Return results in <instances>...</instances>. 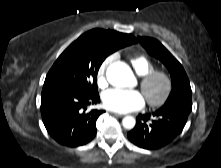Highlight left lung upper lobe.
<instances>
[{
	"label": "left lung upper lobe",
	"instance_id": "obj_1",
	"mask_svg": "<svg viewBox=\"0 0 221 168\" xmlns=\"http://www.w3.org/2000/svg\"><path fill=\"white\" fill-rule=\"evenodd\" d=\"M140 44L151 55L159 59L168 69L172 79V90L160 109L186 107L192 109L191 87L182 65L156 39L138 37Z\"/></svg>",
	"mask_w": 221,
	"mask_h": 168
}]
</instances>
